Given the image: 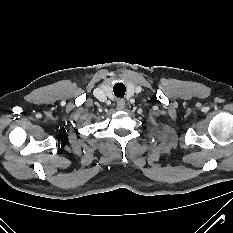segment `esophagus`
Listing matches in <instances>:
<instances>
[{
	"mask_svg": "<svg viewBox=\"0 0 233 233\" xmlns=\"http://www.w3.org/2000/svg\"><path fill=\"white\" fill-rule=\"evenodd\" d=\"M125 108V101L120 99L117 101V109L118 110H123Z\"/></svg>",
	"mask_w": 233,
	"mask_h": 233,
	"instance_id": "34e87169",
	"label": "esophagus"
}]
</instances>
